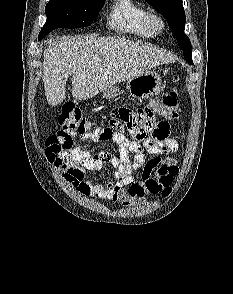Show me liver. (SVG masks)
<instances>
[{"mask_svg": "<svg viewBox=\"0 0 233 294\" xmlns=\"http://www.w3.org/2000/svg\"><path fill=\"white\" fill-rule=\"evenodd\" d=\"M173 60L153 46L121 37H62L44 51L45 96L49 105L60 104L65 99L66 81L73 75V98L86 100Z\"/></svg>", "mask_w": 233, "mask_h": 294, "instance_id": "6515ba94", "label": "liver"}]
</instances>
